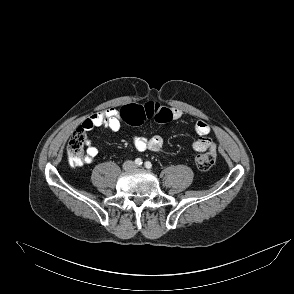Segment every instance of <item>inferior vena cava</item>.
<instances>
[{"instance_id": "1", "label": "inferior vena cava", "mask_w": 294, "mask_h": 294, "mask_svg": "<svg viewBox=\"0 0 294 294\" xmlns=\"http://www.w3.org/2000/svg\"><path fill=\"white\" fill-rule=\"evenodd\" d=\"M127 164H131V165H133V162L132 161H126L125 163H124V168L126 169V165Z\"/></svg>"}]
</instances>
